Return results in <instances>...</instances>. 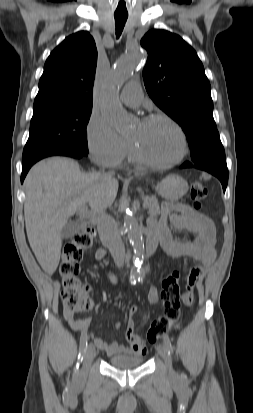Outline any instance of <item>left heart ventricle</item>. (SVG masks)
<instances>
[{"mask_svg": "<svg viewBox=\"0 0 253 413\" xmlns=\"http://www.w3.org/2000/svg\"><path fill=\"white\" fill-rule=\"evenodd\" d=\"M141 152L155 162H168L177 157L181 142L175 129L163 120L139 123L130 135Z\"/></svg>", "mask_w": 253, "mask_h": 413, "instance_id": "1", "label": "left heart ventricle"}]
</instances>
